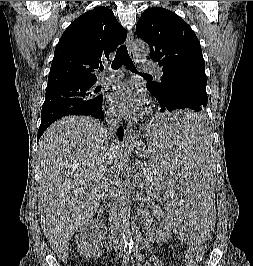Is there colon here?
Wrapping results in <instances>:
<instances>
[{
	"instance_id": "obj_1",
	"label": "colon",
	"mask_w": 253,
	"mask_h": 266,
	"mask_svg": "<svg viewBox=\"0 0 253 266\" xmlns=\"http://www.w3.org/2000/svg\"><path fill=\"white\" fill-rule=\"evenodd\" d=\"M207 248H191L185 258V266H198Z\"/></svg>"
}]
</instances>
